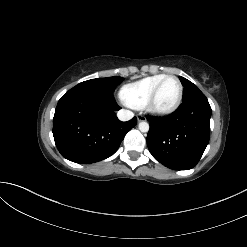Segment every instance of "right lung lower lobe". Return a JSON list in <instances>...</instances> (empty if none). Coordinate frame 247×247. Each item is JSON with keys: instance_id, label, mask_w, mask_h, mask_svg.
I'll use <instances>...</instances> for the list:
<instances>
[{"instance_id": "1", "label": "right lung lower lobe", "mask_w": 247, "mask_h": 247, "mask_svg": "<svg viewBox=\"0 0 247 247\" xmlns=\"http://www.w3.org/2000/svg\"><path fill=\"white\" fill-rule=\"evenodd\" d=\"M120 107L112 92L74 87L59 100L53 136L61 155L75 163L104 160L119 148L137 118L122 122L115 115Z\"/></svg>"}]
</instances>
